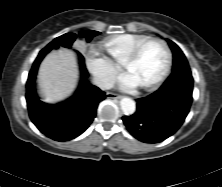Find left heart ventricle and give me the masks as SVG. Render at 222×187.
I'll return each instance as SVG.
<instances>
[{
	"label": "left heart ventricle",
	"instance_id": "1",
	"mask_svg": "<svg viewBox=\"0 0 222 187\" xmlns=\"http://www.w3.org/2000/svg\"><path fill=\"white\" fill-rule=\"evenodd\" d=\"M166 64V52L159 43H150L142 51L136 62L128 67L127 74L139 85L155 81L163 72Z\"/></svg>",
	"mask_w": 222,
	"mask_h": 187
}]
</instances>
